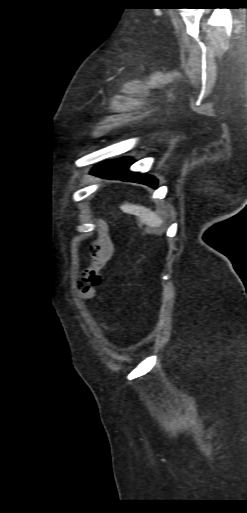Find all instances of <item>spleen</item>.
<instances>
[{"label":"spleen","mask_w":247,"mask_h":513,"mask_svg":"<svg viewBox=\"0 0 247 513\" xmlns=\"http://www.w3.org/2000/svg\"><path fill=\"white\" fill-rule=\"evenodd\" d=\"M121 210L128 214L136 215L142 223L150 227H156L161 222L159 216L145 206L126 203L121 206Z\"/></svg>","instance_id":"3e777b00"}]
</instances>
